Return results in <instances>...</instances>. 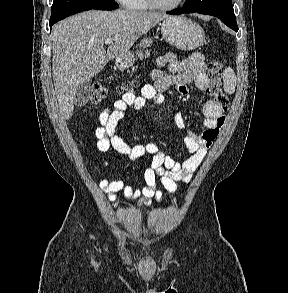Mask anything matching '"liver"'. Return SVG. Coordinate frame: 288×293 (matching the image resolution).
I'll return each mask as SVG.
<instances>
[{"label":"liver","instance_id":"6515ba94","mask_svg":"<svg viewBox=\"0 0 288 293\" xmlns=\"http://www.w3.org/2000/svg\"><path fill=\"white\" fill-rule=\"evenodd\" d=\"M167 15L134 10H90L53 26L52 73L60 113L69 119L77 88L109 60L128 53L135 41ZM115 38L107 51L105 39Z\"/></svg>","mask_w":288,"mask_h":293}]
</instances>
